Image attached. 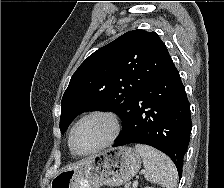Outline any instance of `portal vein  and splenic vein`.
<instances>
[{
    "label": "portal vein and splenic vein",
    "instance_id": "1",
    "mask_svg": "<svg viewBox=\"0 0 224 188\" xmlns=\"http://www.w3.org/2000/svg\"><path fill=\"white\" fill-rule=\"evenodd\" d=\"M137 185H138V181H135V182L133 183V188H136ZM129 187H130L129 184L125 185V188H129Z\"/></svg>",
    "mask_w": 224,
    "mask_h": 188
}]
</instances>
